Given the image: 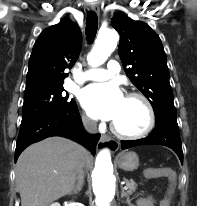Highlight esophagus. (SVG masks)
<instances>
[{
	"mask_svg": "<svg viewBox=\"0 0 197 206\" xmlns=\"http://www.w3.org/2000/svg\"><path fill=\"white\" fill-rule=\"evenodd\" d=\"M90 8L94 13L100 15V8L98 4H91ZM98 148H107L111 151H116L119 148V143L116 140L112 139L110 136L102 135L100 137V143L98 144Z\"/></svg>",
	"mask_w": 197,
	"mask_h": 206,
	"instance_id": "esophagus-1",
	"label": "esophagus"
}]
</instances>
